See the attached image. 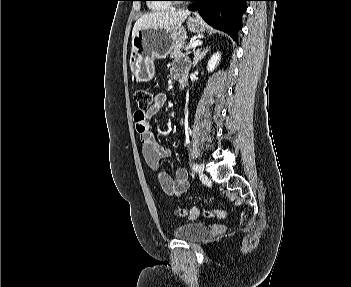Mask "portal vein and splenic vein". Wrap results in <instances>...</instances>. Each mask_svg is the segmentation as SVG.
<instances>
[{"label":"portal vein and splenic vein","instance_id":"1","mask_svg":"<svg viewBox=\"0 0 351 287\" xmlns=\"http://www.w3.org/2000/svg\"><path fill=\"white\" fill-rule=\"evenodd\" d=\"M202 42L197 40V41H194L193 43H191L186 49H189V48H195L197 47L198 45H201Z\"/></svg>","mask_w":351,"mask_h":287}]
</instances>
